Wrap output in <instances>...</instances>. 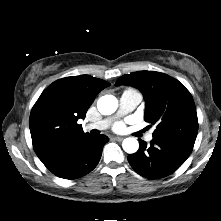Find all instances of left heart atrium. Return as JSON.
Returning <instances> with one entry per match:
<instances>
[{
    "label": "left heart atrium",
    "mask_w": 221,
    "mask_h": 221,
    "mask_svg": "<svg viewBox=\"0 0 221 221\" xmlns=\"http://www.w3.org/2000/svg\"><path fill=\"white\" fill-rule=\"evenodd\" d=\"M116 129H117V130H122V129H123V125H122V124L117 125V126H116Z\"/></svg>",
    "instance_id": "obj_1"
}]
</instances>
